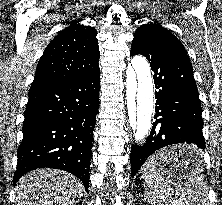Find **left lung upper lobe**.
<instances>
[{
    "label": "left lung upper lobe",
    "instance_id": "5c2ea615",
    "mask_svg": "<svg viewBox=\"0 0 222 205\" xmlns=\"http://www.w3.org/2000/svg\"><path fill=\"white\" fill-rule=\"evenodd\" d=\"M134 38L144 39L151 43H170L183 47V44L169 30L159 23L143 24L137 28Z\"/></svg>",
    "mask_w": 222,
    "mask_h": 205
}]
</instances>
